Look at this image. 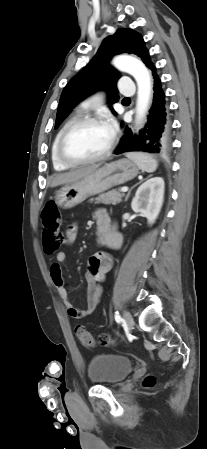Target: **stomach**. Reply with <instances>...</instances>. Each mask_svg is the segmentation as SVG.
Segmentation results:
<instances>
[{"mask_svg": "<svg viewBox=\"0 0 207 449\" xmlns=\"http://www.w3.org/2000/svg\"><path fill=\"white\" fill-rule=\"evenodd\" d=\"M139 168L130 159H119L96 169L83 178L66 184L56 192L55 203L63 209L73 208L87 198L124 184L137 176Z\"/></svg>", "mask_w": 207, "mask_h": 449, "instance_id": "0dacf381", "label": "stomach"}]
</instances>
